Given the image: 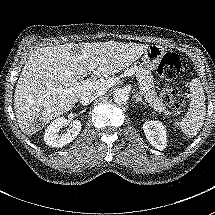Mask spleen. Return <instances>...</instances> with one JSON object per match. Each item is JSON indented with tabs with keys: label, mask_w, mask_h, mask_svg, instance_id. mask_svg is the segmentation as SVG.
<instances>
[{
	"label": "spleen",
	"mask_w": 215,
	"mask_h": 215,
	"mask_svg": "<svg viewBox=\"0 0 215 215\" xmlns=\"http://www.w3.org/2000/svg\"><path fill=\"white\" fill-rule=\"evenodd\" d=\"M189 97L190 104L188 112L177 125L186 136L193 137L202 128L206 115L204 91L197 80L191 82V93Z\"/></svg>",
	"instance_id": "3e777b00"
}]
</instances>
